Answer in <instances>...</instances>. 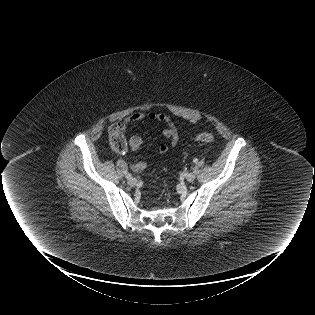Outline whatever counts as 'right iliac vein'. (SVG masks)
Masks as SVG:
<instances>
[{
    "label": "right iliac vein",
    "instance_id": "1",
    "mask_svg": "<svg viewBox=\"0 0 315 315\" xmlns=\"http://www.w3.org/2000/svg\"><path fill=\"white\" fill-rule=\"evenodd\" d=\"M128 184L130 185V186H134V185H136L137 184V179L136 178H130L129 180H128Z\"/></svg>",
    "mask_w": 315,
    "mask_h": 315
}]
</instances>
